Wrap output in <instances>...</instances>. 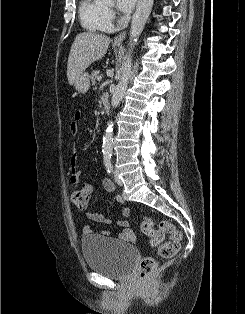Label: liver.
Wrapping results in <instances>:
<instances>
[{
    "mask_svg": "<svg viewBox=\"0 0 245 314\" xmlns=\"http://www.w3.org/2000/svg\"><path fill=\"white\" fill-rule=\"evenodd\" d=\"M110 37L98 33L84 32L76 36L67 63V78L70 85L89 65L101 59L107 52Z\"/></svg>",
    "mask_w": 245,
    "mask_h": 314,
    "instance_id": "1",
    "label": "liver"
}]
</instances>
